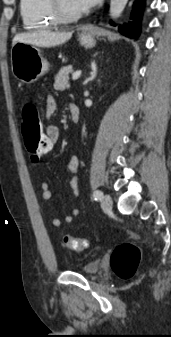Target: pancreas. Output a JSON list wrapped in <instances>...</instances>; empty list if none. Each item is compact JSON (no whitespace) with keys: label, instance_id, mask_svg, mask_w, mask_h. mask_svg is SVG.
<instances>
[{"label":"pancreas","instance_id":"pancreas-1","mask_svg":"<svg viewBox=\"0 0 171 337\" xmlns=\"http://www.w3.org/2000/svg\"><path fill=\"white\" fill-rule=\"evenodd\" d=\"M72 72V66L62 67L55 77L54 89L63 91L70 87L68 83L69 73Z\"/></svg>","mask_w":171,"mask_h":337}]
</instances>
